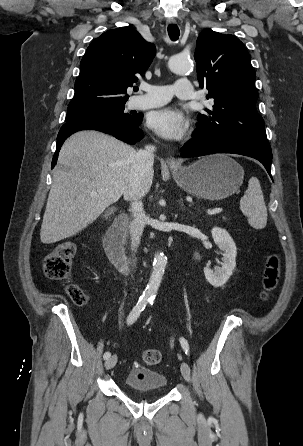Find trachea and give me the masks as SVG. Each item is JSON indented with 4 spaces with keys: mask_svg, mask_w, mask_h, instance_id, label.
Here are the masks:
<instances>
[{
    "mask_svg": "<svg viewBox=\"0 0 303 446\" xmlns=\"http://www.w3.org/2000/svg\"><path fill=\"white\" fill-rule=\"evenodd\" d=\"M168 34L172 41H176L179 38L180 31L176 24L168 25Z\"/></svg>",
    "mask_w": 303,
    "mask_h": 446,
    "instance_id": "trachea-1",
    "label": "trachea"
}]
</instances>
